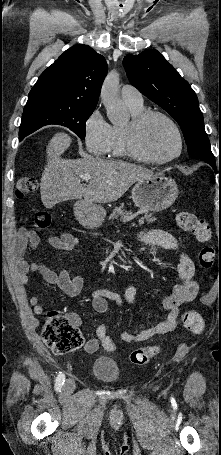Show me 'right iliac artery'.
Returning <instances> with one entry per match:
<instances>
[{"label":"right iliac artery","mask_w":221,"mask_h":455,"mask_svg":"<svg viewBox=\"0 0 221 455\" xmlns=\"http://www.w3.org/2000/svg\"><path fill=\"white\" fill-rule=\"evenodd\" d=\"M65 382V375L60 373L58 374L57 378H56V382H55V389L56 391H60L63 384Z\"/></svg>","instance_id":"1"}]
</instances>
